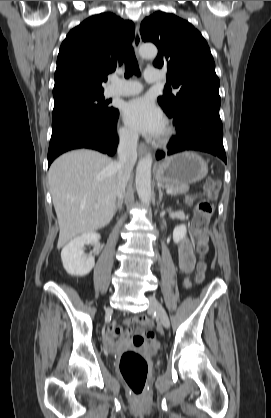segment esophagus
<instances>
[{"label": "esophagus", "instance_id": "1", "mask_svg": "<svg viewBox=\"0 0 271 418\" xmlns=\"http://www.w3.org/2000/svg\"><path fill=\"white\" fill-rule=\"evenodd\" d=\"M140 45H141L140 29H139V25L136 24L135 36H134V49H135V53H136L137 56H138ZM146 152H147L146 145L144 143H141L138 147L139 155H144Z\"/></svg>", "mask_w": 271, "mask_h": 418}]
</instances>
